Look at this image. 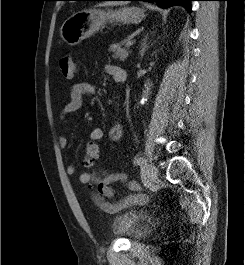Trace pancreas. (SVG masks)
I'll return each mask as SVG.
<instances>
[{"mask_svg":"<svg viewBox=\"0 0 245 265\" xmlns=\"http://www.w3.org/2000/svg\"><path fill=\"white\" fill-rule=\"evenodd\" d=\"M109 51L113 52V58L114 59H119L120 61H125L129 55V50L128 48H110Z\"/></svg>","mask_w":245,"mask_h":265,"instance_id":"pancreas-1","label":"pancreas"}]
</instances>
